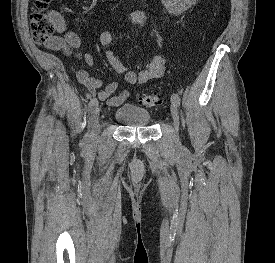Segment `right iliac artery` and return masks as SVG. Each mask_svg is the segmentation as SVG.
<instances>
[{"instance_id":"82829eb1","label":"right iliac artery","mask_w":275,"mask_h":263,"mask_svg":"<svg viewBox=\"0 0 275 263\" xmlns=\"http://www.w3.org/2000/svg\"><path fill=\"white\" fill-rule=\"evenodd\" d=\"M97 105H98L97 99H91V101L89 103L88 115H87L88 124H90V122L92 121V117H93V114H94V111H95V108L97 107ZM85 139L87 141H89V139H90L89 131L86 133Z\"/></svg>"}]
</instances>
